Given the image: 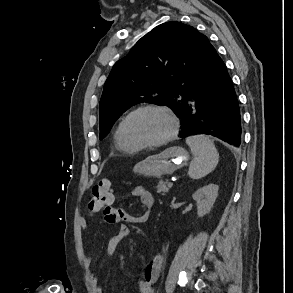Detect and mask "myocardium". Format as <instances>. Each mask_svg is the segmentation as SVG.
<instances>
[{
  "label": "myocardium",
  "mask_w": 293,
  "mask_h": 293,
  "mask_svg": "<svg viewBox=\"0 0 293 293\" xmlns=\"http://www.w3.org/2000/svg\"><path fill=\"white\" fill-rule=\"evenodd\" d=\"M143 111H157L162 113L170 122V130L169 132L161 139L154 141V142H136L132 140L129 133V126L132 118L140 112ZM179 128V123L175 115L166 107L156 104H145L141 105L134 110H132L124 119L123 126H122V133L123 138L126 144L129 146L136 148V149H147V148H154L160 147L168 142H170L177 134Z\"/></svg>",
  "instance_id": "1"
}]
</instances>
